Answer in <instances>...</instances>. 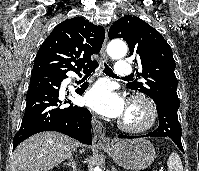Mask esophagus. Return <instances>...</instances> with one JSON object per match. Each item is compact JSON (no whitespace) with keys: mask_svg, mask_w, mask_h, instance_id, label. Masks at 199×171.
I'll list each match as a JSON object with an SVG mask.
<instances>
[{"mask_svg":"<svg viewBox=\"0 0 199 171\" xmlns=\"http://www.w3.org/2000/svg\"><path fill=\"white\" fill-rule=\"evenodd\" d=\"M107 32L105 35V40L102 45V49L100 51V63L103 64L104 61L107 60L106 55V45H107ZM92 126H93V144L97 148H104L110 145V139L106 136L105 127L102 123L95 117H92Z\"/></svg>","mask_w":199,"mask_h":171,"instance_id":"1","label":"esophagus"}]
</instances>
